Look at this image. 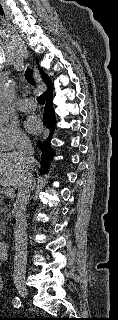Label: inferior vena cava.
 Wrapping results in <instances>:
<instances>
[{"label":"inferior vena cava","instance_id":"obj_1","mask_svg":"<svg viewBox=\"0 0 118 320\" xmlns=\"http://www.w3.org/2000/svg\"><path fill=\"white\" fill-rule=\"evenodd\" d=\"M17 155L24 163L16 201L13 205L12 213L15 216V253H14V274L15 283L25 280L26 263H27V221L25 217L26 206L29 201L31 190L33 189L32 168L34 164L33 147L28 138H21L17 148Z\"/></svg>","mask_w":118,"mask_h":320}]
</instances>
